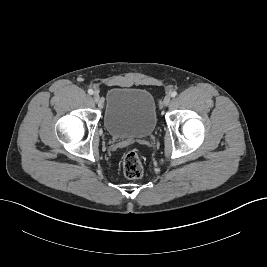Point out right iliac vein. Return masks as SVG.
Wrapping results in <instances>:
<instances>
[{"label":"right iliac vein","instance_id":"obj_1","mask_svg":"<svg viewBox=\"0 0 267 267\" xmlns=\"http://www.w3.org/2000/svg\"><path fill=\"white\" fill-rule=\"evenodd\" d=\"M93 98H94V101L97 103V102H99L100 96H99V94L97 92H95L93 94Z\"/></svg>","mask_w":267,"mask_h":267}]
</instances>
